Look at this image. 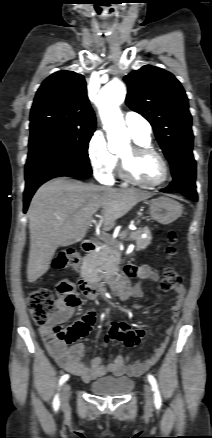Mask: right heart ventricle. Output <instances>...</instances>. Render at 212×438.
I'll return each instance as SVG.
<instances>
[{
	"label": "right heart ventricle",
	"instance_id": "e07e8e85",
	"mask_svg": "<svg viewBox=\"0 0 212 438\" xmlns=\"http://www.w3.org/2000/svg\"><path fill=\"white\" fill-rule=\"evenodd\" d=\"M135 142L139 145H144V146H150L151 143V139L150 138H138V137H133Z\"/></svg>",
	"mask_w": 212,
	"mask_h": 438
}]
</instances>
